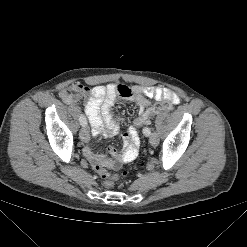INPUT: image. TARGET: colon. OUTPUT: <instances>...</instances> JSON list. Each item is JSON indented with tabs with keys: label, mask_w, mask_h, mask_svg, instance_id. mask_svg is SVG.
I'll list each match as a JSON object with an SVG mask.
<instances>
[{
	"label": "colon",
	"mask_w": 247,
	"mask_h": 247,
	"mask_svg": "<svg viewBox=\"0 0 247 247\" xmlns=\"http://www.w3.org/2000/svg\"><path fill=\"white\" fill-rule=\"evenodd\" d=\"M118 92L121 96H129L131 91L130 88L124 85L118 86ZM172 105L169 102H161L157 103L152 107L146 108L143 113L139 115V117L135 120L134 126L138 130L139 127L143 126L144 124L148 123L150 119L160 112L171 111ZM96 172L99 176L104 180V185L108 188L114 186V180L118 178L116 175H111L106 171V169L100 165L95 167Z\"/></svg>",
	"instance_id": "1"
}]
</instances>
